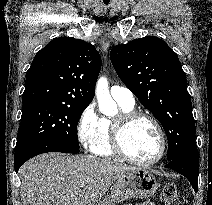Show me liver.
<instances>
[{
	"instance_id": "1",
	"label": "liver",
	"mask_w": 212,
	"mask_h": 205,
	"mask_svg": "<svg viewBox=\"0 0 212 205\" xmlns=\"http://www.w3.org/2000/svg\"><path fill=\"white\" fill-rule=\"evenodd\" d=\"M135 169L86 155L41 154L19 170L21 200L23 205H95L115 180Z\"/></svg>"
}]
</instances>
